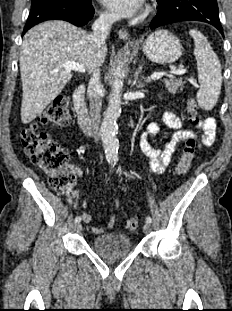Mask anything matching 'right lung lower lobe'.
Listing matches in <instances>:
<instances>
[{
	"mask_svg": "<svg viewBox=\"0 0 232 311\" xmlns=\"http://www.w3.org/2000/svg\"><path fill=\"white\" fill-rule=\"evenodd\" d=\"M94 15L92 5H79L67 0H42L32 3L23 34L34 25L46 20H65L78 27L85 25Z\"/></svg>",
	"mask_w": 232,
	"mask_h": 311,
	"instance_id": "1",
	"label": "right lung lower lobe"
}]
</instances>
